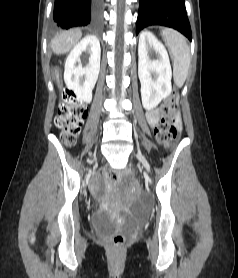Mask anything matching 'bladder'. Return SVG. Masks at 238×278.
<instances>
[{
  "label": "bladder",
  "mask_w": 238,
  "mask_h": 278,
  "mask_svg": "<svg viewBox=\"0 0 238 278\" xmlns=\"http://www.w3.org/2000/svg\"><path fill=\"white\" fill-rule=\"evenodd\" d=\"M93 226L102 231L111 230L116 227V221L106 212L97 211L92 216Z\"/></svg>",
  "instance_id": "bladder-1"
}]
</instances>
